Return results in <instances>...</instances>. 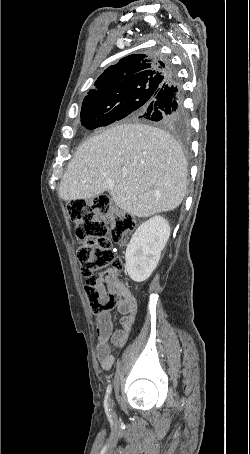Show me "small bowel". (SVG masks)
Returning <instances> with one entry per match:
<instances>
[{
	"label": "small bowel",
	"mask_w": 250,
	"mask_h": 454,
	"mask_svg": "<svg viewBox=\"0 0 250 454\" xmlns=\"http://www.w3.org/2000/svg\"><path fill=\"white\" fill-rule=\"evenodd\" d=\"M121 300L118 303V312L122 315L120 328L113 330L112 316L109 312L100 314L96 320V335L98 342L96 354L104 369H109L114 363L113 348L123 347L135 322L137 301L128 287L121 284Z\"/></svg>",
	"instance_id": "1"
}]
</instances>
